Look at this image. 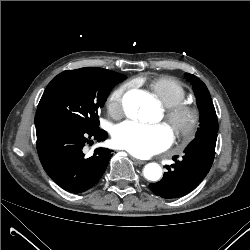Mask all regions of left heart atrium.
I'll use <instances>...</instances> for the list:
<instances>
[{
	"label": "left heart atrium",
	"instance_id": "39dd6f15",
	"mask_svg": "<svg viewBox=\"0 0 250 250\" xmlns=\"http://www.w3.org/2000/svg\"><path fill=\"white\" fill-rule=\"evenodd\" d=\"M172 142L171 131L162 124L125 121L119 124L113 133L115 147L140 158L162 152L169 148Z\"/></svg>",
	"mask_w": 250,
	"mask_h": 250
}]
</instances>
